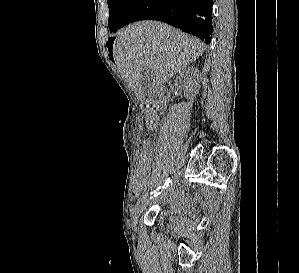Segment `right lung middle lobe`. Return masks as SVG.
<instances>
[{
	"instance_id": "obj_1",
	"label": "right lung middle lobe",
	"mask_w": 299,
	"mask_h": 273,
	"mask_svg": "<svg viewBox=\"0 0 299 273\" xmlns=\"http://www.w3.org/2000/svg\"><path fill=\"white\" fill-rule=\"evenodd\" d=\"M134 0H107L109 7L108 27L111 32L120 28L121 21Z\"/></svg>"
}]
</instances>
